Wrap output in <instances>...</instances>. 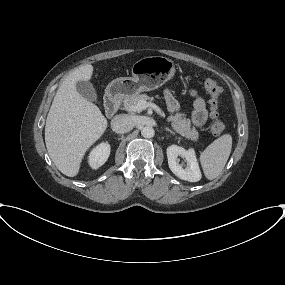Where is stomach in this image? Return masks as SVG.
<instances>
[{"label":"stomach","instance_id":"stomach-1","mask_svg":"<svg viewBox=\"0 0 285 285\" xmlns=\"http://www.w3.org/2000/svg\"><path fill=\"white\" fill-rule=\"evenodd\" d=\"M131 72L132 77L112 80L106 88V94L114 98H123L157 89L174 76L175 65L169 58L148 56L135 62Z\"/></svg>","mask_w":285,"mask_h":285}]
</instances>
